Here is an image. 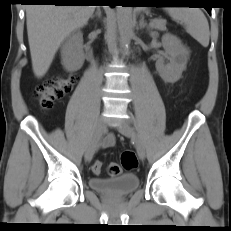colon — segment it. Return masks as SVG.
<instances>
[{"mask_svg": "<svg viewBox=\"0 0 231 231\" xmlns=\"http://www.w3.org/2000/svg\"><path fill=\"white\" fill-rule=\"evenodd\" d=\"M78 80L77 75H58L52 79L45 81L37 86L33 96L44 111H48L55 101L63 98L73 88ZM121 166L116 163H111L107 167V172L111 176H117L121 172V167L125 170H133L138 166V159L133 151H125L120 157ZM103 164L101 161H95L92 166V172L99 174L102 171Z\"/></svg>", "mask_w": 231, "mask_h": 231, "instance_id": "obj_1", "label": "colon"}]
</instances>
